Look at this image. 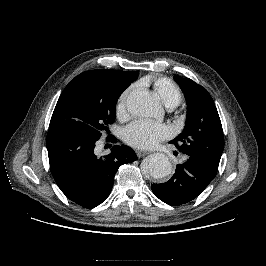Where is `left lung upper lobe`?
I'll use <instances>...</instances> for the list:
<instances>
[{
	"mask_svg": "<svg viewBox=\"0 0 266 266\" xmlns=\"http://www.w3.org/2000/svg\"><path fill=\"white\" fill-rule=\"evenodd\" d=\"M184 93L187 118L183 132L170 141L179 151L216 167L224 149L221 121L208 91L192 81L174 76ZM181 146H178V144Z\"/></svg>",
	"mask_w": 266,
	"mask_h": 266,
	"instance_id": "1",
	"label": "left lung upper lobe"
}]
</instances>
